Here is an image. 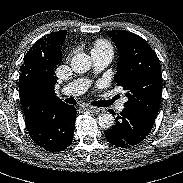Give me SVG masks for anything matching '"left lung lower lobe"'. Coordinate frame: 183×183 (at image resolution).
<instances>
[{"label":"left lung lower lobe","instance_id":"1","mask_svg":"<svg viewBox=\"0 0 183 183\" xmlns=\"http://www.w3.org/2000/svg\"><path fill=\"white\" fill-rule=\"evenodd\" d=\"M154 120L133 108H124L115 119V125L105 131L106 139L118 147L140 143L149 134Z\"/></svg>","mask_w":183,"mask_h":183}]
</instances>
